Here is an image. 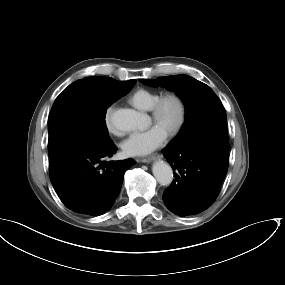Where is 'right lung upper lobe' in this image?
I'll use <instances>...</instances> for the list:
<instances>
[{"mask_svg":"<svg viewBox=\"0 0 285 285\" xmlns=\"http://www.w3.org/2000/svg\"><path fill=\"white\" fill-rule=\"evenodd\" d=\"M133 81L136 82V80H129V81H126V83H130V82H133Z\"/></svg>","mask_w":285,"mask_h":285,"instance_id":"right-lung-upper-lobe-1","label":"right lung upper lobe"}]
</instances>
